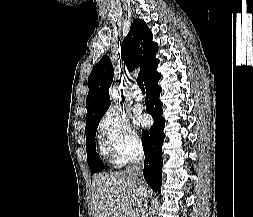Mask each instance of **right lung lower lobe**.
Wrapping results in <instances>:
<instances>
[{
    "label": "right lung lower lobe",
    "instance_id": "1",
    "mask_svg": "<svg viewBox=\"0 0 253 217\" xmlns=\"http://www.w3.org/2000/svg\"><path fill=\"white\" fill-rule=\"evenodd\" d=\"M161 74L150 75L144 81L146 87V111L151 114L154 124L149 130L142 131V145L145 154L144 178L153 191H161L162 184V144L165 138L163 132L165 119L162 117L163 103L159 100L161 87L158 81Z\"/></svg>",
    "mask_w": 253,
    "mask_h": 217
}]
</instances>
